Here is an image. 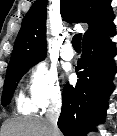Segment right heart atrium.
Wrapping results in <instances>:
<instances>
[{"mask_svg":"<svg viewBox=\"0 0 117 136\" xmlns=\"http://www.w3.org/2000/svg\"><path fill=\"white\" fill-rule=\"evenodd\" d=\"M27 91L35 107L46 108L58 102L62 90L57 71L46 61H39L30 70Z\"/></svg>","mask_w":117,"mask_h":136,"instance_id":"1","label":"right heart atrium"}]
</instances>
